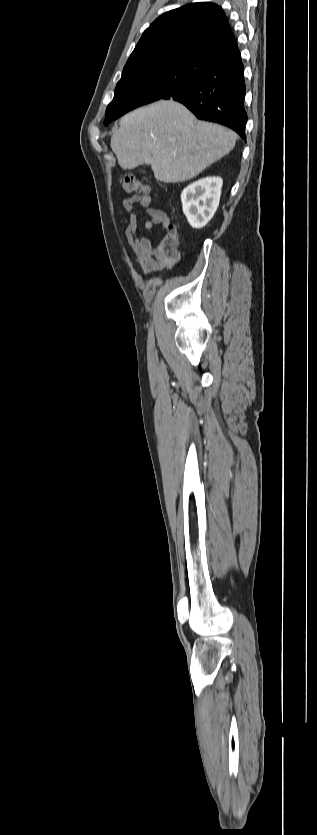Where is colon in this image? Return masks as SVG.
<instances>
[{"mask_svg":"<svg viewBox=\"0 0 317 835\" xmlns=\"http://www.w3.org/2000/svg\"><path fill=\"white\" fill-rule=\"evenodd\" d=\"M122 189L129 194H146L149 187L133 174H125L120 178ZM179 234L174 225L167 226V234L159 245L160 252L169 259H176L178 256Z\"/></svg>","mask_w":317,"mask_h":835,"instance_id":"obj_1","label":"colon"}]
</instances>
